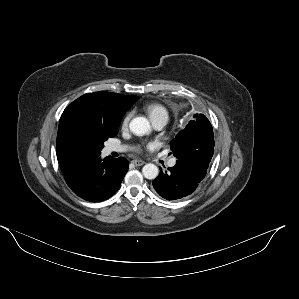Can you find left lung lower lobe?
<instances>
[{
  "label": "left lung lower lobe",
  "instance_id": "1",
  "mask_svg": "<svg viewBox=\"0 0 299 299\" xmlns=\"http://www.w3.org/2000/svg\"><path fill=\"white\" fill-rule=\"evenodd\" d=\"M162 172L153 181L156 192L167 200H176L192 194L204 179L207 169L192 163L177 161L176 165Z\"/></svg>",
  "mask_w": 299,
  "mask_h": 299
}]
</instances>
